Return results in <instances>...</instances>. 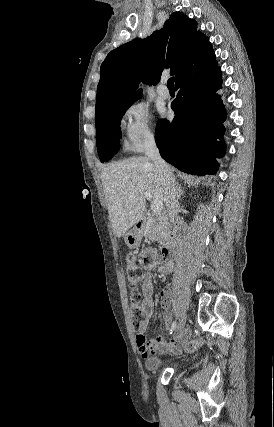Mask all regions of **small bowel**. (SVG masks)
Masks as SVG:
<instances>
[{"label": "small bowel", "instance_id": "small-bowel-1", "mask_svg": "<svg viewBox=\"0 0 274 427\" xmlns=\"http://www.w3.org/2000/svg\"><path fill=\"white\" fill-rule=\"evenodd\" d=\"M147 262V269H153L160 265V270L163 272H170L173 267L172 259L165 258L163 255L160 257L158 253L152 249L147 248L144 252ZM142 301L141 307L143 310V319L135 324L136 341L139 347L140 354L143 358H149L157 354L167 352H178L182 346L188 341L187 332H179L171 335L169 338L158 336L152 340H147L144 333L149 327L150 319L153 313L154 300H153V283L149 273H145L140 280ZM160 310L164 318L165 325L168 326L171 320V313L169 310V293L162 291L160 295Z\"/></svg>", "mask_w": 274, "mask_h": 427}]
</instances>
